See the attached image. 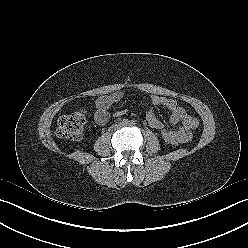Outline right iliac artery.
Instances as JSON below:
<instances>
[{
	"instance_id": "1",
	"label": "right iliac artery",
	"mask_w": 248,
	"mask_h": 248,
	"mask_svg": "<svg viewBox=\"0 0 248 248\" xmlns=\"http://www.w3.org/2000/svg\"><path fill=\"white\" fill-rule=\"evenodd\" d=\"M128 123H129L128 119H123V120H122V124H123V125H127Z\"/></svg>"
}]
</instances>
